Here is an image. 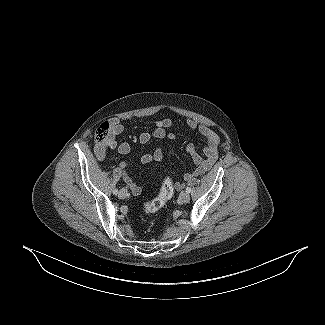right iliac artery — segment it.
<instances>
[{
	"mask_svg": "<svg viewBox=\"0 0 325 325\" xmlns=\"http://www.w3.org/2000/svg\"><path fill=\"white\" fill-rule=\"evenodd\" d=\"M113 194L117 195L118 194V190L117 189H114L113 190Z\"/></svg>",
	"mask_w": 325,
	"mask_h": 325,
	"instance_id": "1",
	"label": "right iliac artery"
}]
</instances>
